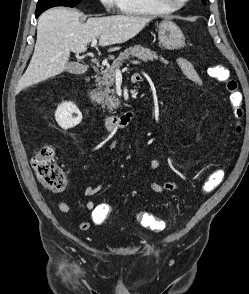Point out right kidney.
Here are the masks:
<instances>
[{"mask_svg": "<svg viewBox=\"0 0 249 294\" xmlns=\"http://www.w3.org/2000/svg\"><path fill=\"white\" fill-rule=\"evenodd\" d=\"M55 119L58 125L64 129L77 126L82 120V113L72 102L60 104L55 112Z\"/></svg>", "mask_w": 249, "mask_h": 294, "instance_id": "ca27d5eb", "label": "right kidney"}]
</instances>
